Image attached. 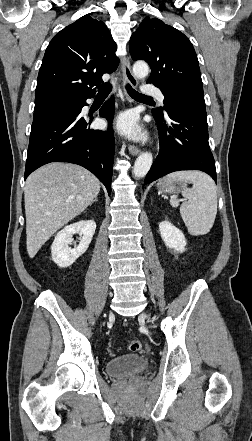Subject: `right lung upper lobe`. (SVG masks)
I'll use <instances>...</instances> for the list:
<instances>
[{"label":"right lung upper lobe","instance_id":"obj_1","mask_svg":"<svg viewBox=\"0 0 252 441\" xmlns=\"http://www.w3.org/2000/svg\"><path fill=\"white\" fill-rule=\"evenodd\" d=\"M116 43L102 21L85 15L49 43L39 70L35 103L62 95L95 94L104 73L118 65Z\"/></svg>","mask_w":252,"mask_h":441}]
</instances>
